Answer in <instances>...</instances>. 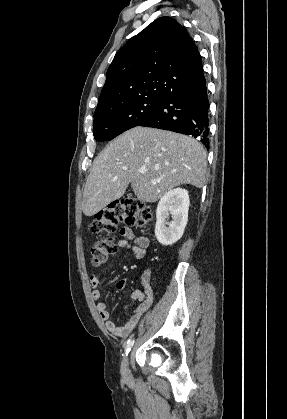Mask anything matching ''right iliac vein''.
Wrapping results in <instances>:
<instances>
[{"label":"right iliac vein","instance_id":"obj_1","mask_svg":"<svg viewBox=\"0 0 287 419\" xmlns=\"http://www.w3.org/2000/svg\"><path fill=\"white\" fill-rule=\"evenodd\" d=\"M129 360H130V355L126 356L123 359L122 365H121V374L125 379L130 377Z\"/></svg>","mask_w":287,"mask_h":419}]
</instances>
